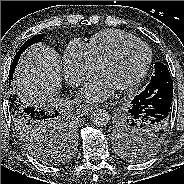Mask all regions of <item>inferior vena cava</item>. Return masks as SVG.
<instances>
[{"label": "inferior vena cava", "instance_id": "602c4592", "mask_svg": "<svg viewBox=\"0 0 184 184\" xmlns=\"http://www.w3.org/2000/svg\"><path fill=\"white\" fill-rule=\"evenodd\" d=\"M84 81V78L83 77H78V78H76L75 80H74V84L75 83H81V82H83Z\"/></svg>", "mask_w": 184, "mask_h": 184}]
</instances>
